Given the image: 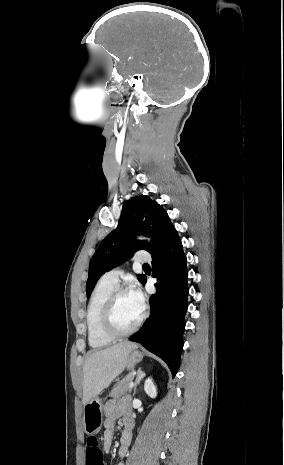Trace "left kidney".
<instances>
[{
  "mask_svg": "<svg viewBox=\"0 0 284 465\" xmlns=\"http://www.w3.org/2000/svg\"><path fill=\"white\" fill-rule=\"evenodd\" d=\"M144 391L148 397H151V399H155L157 395V389L152 381V379H146L145 385H144Z\"/></svg>",
  "mask_w": 284,
  "mask_h": 465,
  "instance_id": "5707ae66",
  "label": "left kidney"
}]
</instances>
